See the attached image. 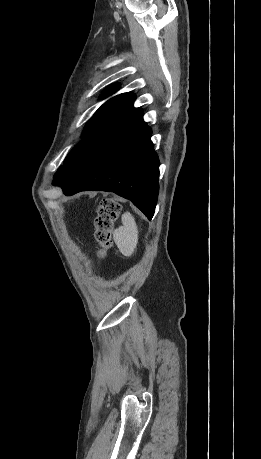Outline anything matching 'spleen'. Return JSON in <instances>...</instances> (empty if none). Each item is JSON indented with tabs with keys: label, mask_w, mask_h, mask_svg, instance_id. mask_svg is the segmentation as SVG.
<instances>
[{
	"label": "spleen",
	"mask_w": 261,
	"mask_h": 459,
	"mask_svg": "<svg viewBox=\"0 0 261 459\" xmlns=\"http://www.w3.org/2000/svg\"><path fill=\"white\" fill-rule=\"evenodd\" d=\"M122 224L114 230L113 239L119 251L124 256L130 257L138 244V228L134 217L129 212L122 215Z\"/></svg>",
	"instance_id": "spleen-1"
}]
</instances>
